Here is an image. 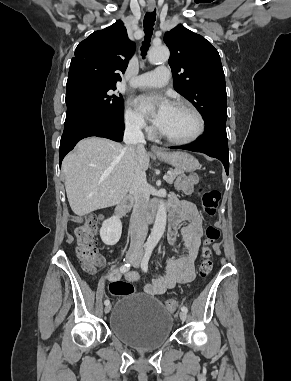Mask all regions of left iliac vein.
I'll list each match as a JSON object with an SVG mask.
<instances>
[{
    "mask_svg": "<svg viewBox=\"0 0 291 381\" xmlns=\"http://www.w3.org/2000/svg\"><path fill=\"white\" fill-rule=\"evenodd\" d=\"M140 261H141V257L138 256L137 259L133 262V266L138 268L140 266ZM180 319L182 321H186L187 320V313L186 312H180Z\"/></svg>",
    "mask_w": 291,
    "mask_h": 381,
    "instance_id": "left-iliac-vein-1",
    "label": "left iliac vein"
}]
</instances>
